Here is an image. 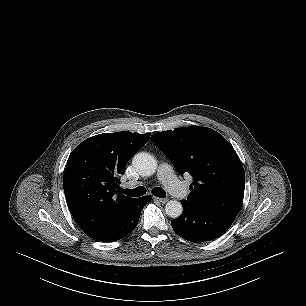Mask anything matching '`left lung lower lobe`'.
<instances>
[{
  "label": "left lung lower lobe",
  "instance_id": "left-lung-lower-lobe-1",
  "mask_svg": "<svg viewBox=\"0 0 306 306\" xmlns=\"http://www.w3.org/2000/svg\"><path fill=\"white\" fill-rule=\"evenodd\" d=\"M183 206L182 215L171 221L174 231L182 238L199 243L213 240L224 234L231 226L235 215L195 207L181 201Z\"/></svg>",
  "mask_w": 306,
  "mask_h": 306
}]
</instances>
